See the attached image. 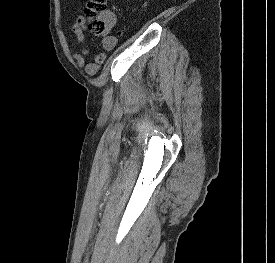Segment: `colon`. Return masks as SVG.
<instances>
[{
    "label": "colon",
    "instance_id": "1",
    "mask_svg": "<svg viewBox=\"0 0 275 263\" xmlns=\"http://www.w3.org/2000/svg\"><path fill=\"white\" fill-rule=\"evenodd\" d=\"M108 0H88L85 13L90 19L89 29L99 36L108 37L111 26L103 13L106 10Z\"/></svg>",
    "mask_w": 275,
    "mask_h": 263
}]
</instances>
